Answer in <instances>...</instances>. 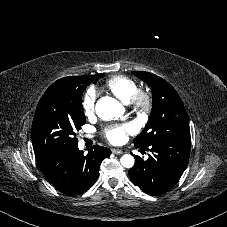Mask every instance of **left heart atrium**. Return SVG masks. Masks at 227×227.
I'll use <instances>...</instances> for the list:
<instances>
[{"mask_svg": "<svg viewBox=\"0 0 227 227\" xmlns=\"http://www.w3.org/2000/svg\"><path fill=\"white\" fill-rule=\"evenodd\" d=\"M132 132V128L129 125H123L107 130L106 138L112 144H121L126 140L127 134Z\"/></svg>", "mask_w": 227, "mask_h": 227, "instance_id": "1", "label": "left heart atrium"}]
</instances>
